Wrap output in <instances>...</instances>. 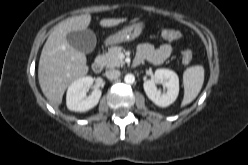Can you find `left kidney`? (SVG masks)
<instances>
[{
    "instance_id": "1",
    "label": "left kidney",
    "mask_w": 248,
    "mask_h": 165,
    "mask_svg": "<svg viewBox=\"0 0 248 165\" xmlns=\"http://www.w3.org/2000/svg\"><path fill=\"white\" fill-rule=\"evenodd\" d=\"M163 83L167 88L164 94L157 89L156 83ZM147 97L159 107L171 105L179 93V78L174 71L168 69H157L155 71V81L147 80L143 84Z\"/></svg>"
}]
</instances>
